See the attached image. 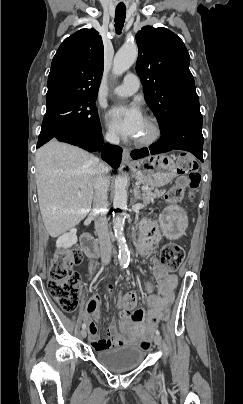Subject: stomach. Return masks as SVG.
Listing matches in <instances>:
<instances>
[{"label":"stomach","mask_w":243,"mask_h":404,"mask_svg":"<svg viewBox=\"0 0 243 404\" xmlns=\"http://www.w3.org/2000/svg\"><path fill=\"white\" fill-rule=\"evenodd\" d=\"M131 167L136 180L151 187L165 186L177 176V166L166 154L145 157ZM160 223L169 238H178L184 233L188 219L180 207H168L160 216Z\"/></svg>","instance_id":"stomach-1"}]
</instances>
